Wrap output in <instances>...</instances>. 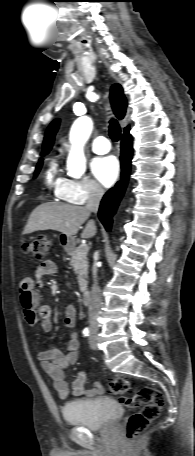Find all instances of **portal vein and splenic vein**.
<instances>
[{"label":"portal vein and splenic vein","instance_id":"1","mask_svg":"<svg viewBox=\"0 0 195 456\" xmlns=\"http://www.w3.org/2000/svg\"><path fill=\"white\" fill-rule=\"evenodd\" d=\"M81 247L83 248V251H86V252L89 249V247L86 244L81 245Z\"/></svg>","mask_w":195,"mask_h":456}]
</instances>
